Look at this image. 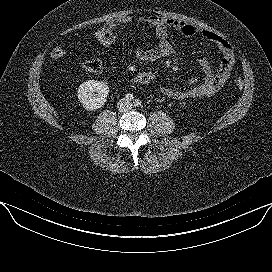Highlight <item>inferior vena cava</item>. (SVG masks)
Returning <instances> with one entry per match:
<instances>
[{
	"mask_svg": "<svg viewBox=\"0 0 272 272\" xmlns=\"http://www.w3.org/2000/svg\"><path fill=\"white\" fill-rule=\"evenodd\" d=\"M117 107L120 111L127 112L132 108V103L127 99H122L117 103Z\"/></svg>",
	"mask_w": 272,
	"mask_h": 272,
	"instance_id": "602c4592",
	"label": "inferior vena cava"
}]
</instances>
